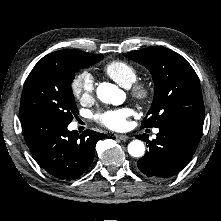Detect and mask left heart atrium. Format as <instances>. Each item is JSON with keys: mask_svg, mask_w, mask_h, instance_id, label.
<instances>
[{"mask_svg": "<svg viewBox=\"0 0 221 221\" xmlns=\"http://www.w3.org/2000/svg\"><path fill=\"white\" fill-rule=\"evenodd\" d=\"M132 111L128 108L108 110L97 115V120L103 126L120 131L127 127V119L131 116Z\"/></svg>", "mask_w": 221, "mask_h": 221, "instance_id": "obj_1", "label": "left heart atrium"}]
</instances>
